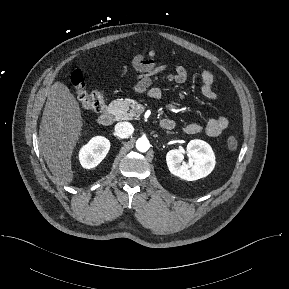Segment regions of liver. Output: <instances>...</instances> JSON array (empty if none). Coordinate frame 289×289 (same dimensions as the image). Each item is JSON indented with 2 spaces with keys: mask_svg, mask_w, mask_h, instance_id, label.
<instances>
[{
  "mask_svg": "<svg viewBox=\"0 0 289 289\" xmlns=\"http://www.w3.org/2000/svg\"><path fill=\"white\" fill-rule=\"evenodd\" d=\"M80 105L68 87L55 82L48 93L39 129L42 155L55 177V183L73 181V150L83 128Z\"/></svg>",
  "mask_w": 289,
  "mask_h": 289,
  "instance_id": "1",
  "label": "liver"
}]
</instances>
